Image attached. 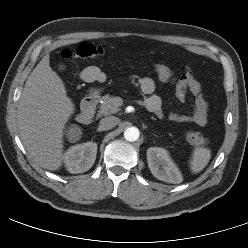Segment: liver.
<instances>
[{"label":"liver","mask_w":248,"mask_h":248,"mask_svg":"<svg viewBox=\"0 0 248 248\" xmlns=\"http://www.w3.org/2000/svg\"><path fill=\"white\" fill-rule=\"evenodd\" d=\"M46 54L29 75L17 108V124L23 145L42 168L62 166L63 135L74 104L63 81L50 67Z\"/></svg>","instance_id":"obj_1"}]
</instances>
